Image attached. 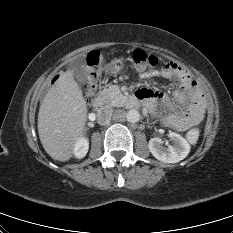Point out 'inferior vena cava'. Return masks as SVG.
<instances>
[{
    "mask_svg": "<svg viewBox=\"0 0 233 233\" xmlns=\"http://www.w3.org/2000/svg\"><path fill=\"white\" fill-rule=\"evenodd\" d=\"M113 117H115L113 109L108 105L101 107L97 111V122L100 125L108 124Z\"/></svg>",
    "mask_w": 233,
    "mask_h": 233,
    "instance_id": "602c4592",
    "label": "inferior vena cava"
}]
</instances>
